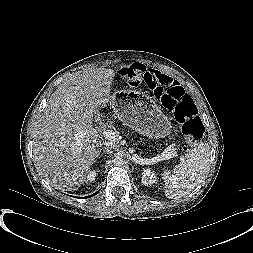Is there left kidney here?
Returning a JSON list of instances; mask_svg holds the SVG:
<instances>
[{
	"mask_svg": "<svg viewBox=\"0 0 253 253\" xmlns=\"http://www.w3.org/2000/svg\"><path fill=\"white\" fill-rule=\"evenodd\" d=\"M156 181H157V176L150 169H145L142 172V183L145 186H151L152 184L156 183Z\"/></svg>",
	"mask_w": 253,
	"mask_h": 253,
	"instance_id": "1",
	"label": "left kidney"
}]
</instances>
